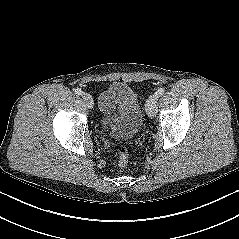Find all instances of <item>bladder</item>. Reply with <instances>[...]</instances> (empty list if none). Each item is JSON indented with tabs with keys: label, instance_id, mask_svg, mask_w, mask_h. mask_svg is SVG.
<instances>
[{
	"label": "bladder",
	"instance_id": "bladder-1",
	"mask_svg": "<svg viewBox=\"0 0 239 239\" xmlns=\"http://www.w3.org/2000/svg\"><path fill=\"white\" fill-rule=\"evenodd\" d=\"M114 91L113 105L117 110V121L113 128L115 133L133 137L142 125V109L135 90L127 83L111 85Z\"/></svg>",
	"mask_w": 239,
	"mask_h": 239
}]
</instances>
